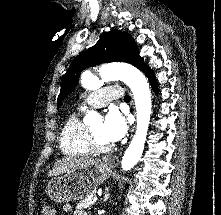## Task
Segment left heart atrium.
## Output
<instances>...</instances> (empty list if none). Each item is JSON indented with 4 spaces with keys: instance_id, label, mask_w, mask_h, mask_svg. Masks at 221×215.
Segmentation results:
<instances>
[{
    "instance_id": "left-heart-atrium-1",
    "label": "left heart atrium",
    "mask_w": 221,
    "mask_h": 215,
    "mask_svg": "<svg viewBox=\"0 0 221 215\" xmlns=\"http://www.w3.org/2000/svg\"><path fill=\"white\" fill-rule=\"evenodd\" d=\"M127 131V124L123 116L115 110H111L102 124L101 135L108 143L119 141Z\"/></svg>"
}]
</instances>
